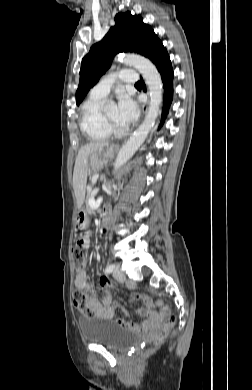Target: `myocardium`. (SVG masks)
Instances as JSON below:
<instances>
[{
    "label": "myocardium",
    "mask_w": 252,
    "mask_h": 390,
    "mask_svg": "<svg viewBox=\"0 0 252 390\" xmlns=\"http://www.w3.org/2000/svg\"><path fill=\"white\" fill-rule=\"evenodd\" d=\"M102 117L106 127L112 132H121L122 127L114 122H112L105 113H102Z\"/></svg>",
    "instance_id": "1"
}]
</instances>
